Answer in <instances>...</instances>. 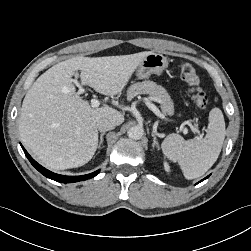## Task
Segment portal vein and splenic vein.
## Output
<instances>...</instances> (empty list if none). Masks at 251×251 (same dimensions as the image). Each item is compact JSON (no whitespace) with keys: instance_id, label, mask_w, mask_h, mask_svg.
<instances>
[{"instance_id":"obj_1","label":"portal vein and splenic vein","mask_w":251,"mask_h":251,"mask_svg":"<svg viewBox=\"0 0 251 251\" xmlns=\"http://www.w3.org/2000/svg\"><path fill=\"white\" fill-rule=\"evenodd\" d=\"M74 84L78 87V91L76 92V95L79 96L83 93H85V89L80 85V83L78 82L77 79H74L73 80ZM146 101V104L148 105V107L159 117L161 118H164V115L160 112V110L153 104L151 103L148 99H145ZM100 105V101L97 100V99H92L91 100V106L94 107V108H97L99 107ZM189 126L191 127V129L194 131V132H199L197 128H195L192 124H189ZM183 133L184 134H187L188 133V130L185 128L183 130Z\"/></svg>"}]
</instances>
